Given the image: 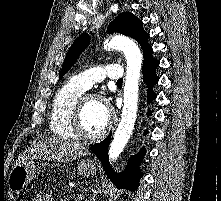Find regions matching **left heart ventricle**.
I'll return each instance as SVG.
<instances>
[{"label":"left heart ventricle","mask_w":221,"mask_h":201,"mask_svg":"<svg viewBox=\"0 0 221 201\" xmlns=\"http://www.w3.org/2000/svg\"><path fill=\"white\" fill-rule=\"evenodd\" d=\"M109 122V112L99 101L91 100L87 103L82 117L84 131L94 135L101 132Z\"/></svg>","instance_id":"left-heart-ventricle-1"}]
</instances>
